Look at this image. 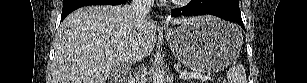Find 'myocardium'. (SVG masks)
<instances>
[{"mask_svg":"<svg viewBox=\"0 0 307 83\" xmlns=\"http://www.w3.org/2000/svg\"><path fill=\"white\" fill-rule=\"evenodd\" d=\"M175 5H180L183 4L185 2H189V0H173L172 1Z\"/></svg>","mask_w":307,"mask_h":83,"instance_id":"1","label":"myocardium"}]
</instances>
